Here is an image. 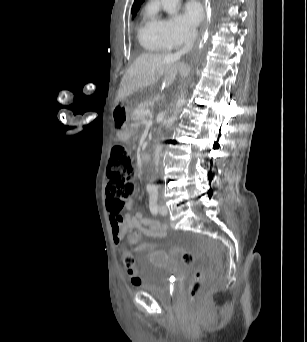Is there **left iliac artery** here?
<instances>
[{"label":"left iliac artery","mask_w":307,"mask_h":342,"mask_svg":"<svg viewBox=\"0 0 307 342\" xmlns=\"http://www.w3.org/2000/svg\"><path fill=\"white\" fill-rule=\"evenodd\" d=\"M150 197H149V207L150 211L153 214H157L158 207H157V201H158V188L156 186H152L151 189H149Z\"/></svg>","instance_id":"1"}]
</instances>
